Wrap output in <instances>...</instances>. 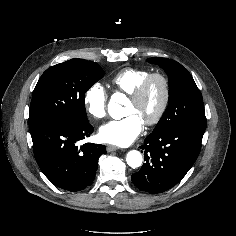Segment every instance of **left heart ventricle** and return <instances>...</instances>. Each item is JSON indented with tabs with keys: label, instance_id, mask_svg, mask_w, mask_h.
Here are the masks:
<instances>
[{
	"label": "left heart ventricle",
	"instance_id": "left-heart-ventricle-1",
	"mask_svg": "<svg viewBox=\"0 0 236 236\" xmlns=\"http://www.w3.org/2000/svg\"><path fill=\"white\" fill-rule=\"evenodd\" d=\"M162 85L158 80H154L144 97L135 102L129 100L126 113L137 114L143 121L152 118L158 111L161 101H162Z\"/></svg>",
	"mask_w": 236,
	"mask_h": 236
}]
</instances>
